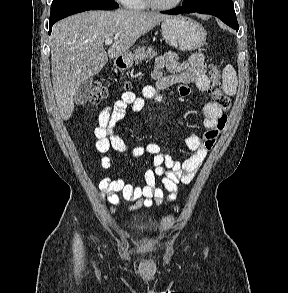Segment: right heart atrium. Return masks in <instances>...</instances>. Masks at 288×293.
Wrapping results in <instances>:
<instances>
[{"label": "right heart atrium", "mask_w": 288, "mask_h": 293, "mask_svg": "<svg viewBox=\"0 0 288 293\" xmlns=\"http://www.w3.org/2000/svg\"><path fill=\"white\" fill-rule=\"evenodd\" d=\"M117 2L126 5L129 0H116Z\"/></svg>", "instance_id": "1"}]
</instances>
